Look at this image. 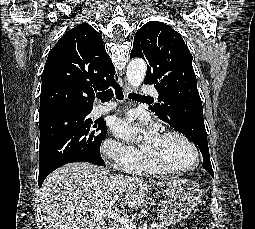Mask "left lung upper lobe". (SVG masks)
I'll list each match as a JSON object with an SVG mask.
<instances>
[{
	"label": "left lung upper lobe",
	"instance_id": "left-lung-upper-lobe-1",
	"mask_svg": "<svg viewBox=\"0 0 255 229\" xmlns=\"http://www.w3.org/2000/svg\"><path fill=\"white\" fill-rule=\"evenodd\" d=\"M134 57L147 62L144 83L154 84L162 102L152 105L151 112L189 138L203 156L209 155L207 133L193 129V118H177L192 105H202L192 55L183 38L164 23L147 22L135 34L130 58Z\"/></svg>",
	"mask_w": 255,
	"mask_h": 229
}]
</instances>
